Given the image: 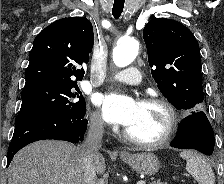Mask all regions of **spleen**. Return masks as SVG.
<instances>
[{
  "label": "spleen",
  "mask_w": 224,
  "mask_h": 184,
  "mask_svg": "<svg viewBox=\"0 0 224 184\" xmlns=\"http://www.w3.org/2000/svg\"><path fill=\"white\" fill-rule=\"evenodd\" d=\"M180 157L186 160V171L199 184H215L213 170L204 157L193 151H183Z\"/></svg>",
  "instance_id": "3e777b00"
}]
</instances>
